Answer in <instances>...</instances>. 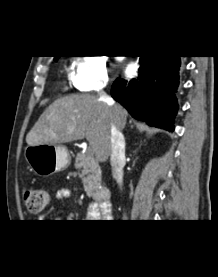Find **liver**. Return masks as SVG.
Wrapping results in <instances>:
<instances>
[{
    "mask_svg": "<svg viewBox=\"0 0 218 277\" xmlns=\"http://www.w3.org/2000/svg\"><path fill=\"white\" fill-rule=\"evenodd\" d=\"M114 112L92 95H70L54 101L43 112L26 136L29 146L58 145L86 137L98 161L111 153V125L126 124V111L118 104Z\"/></svg>",
    "mask_w": 218,
    "mask_h": 277,
    "instance_id": "6515ba94",
    "label": "liver"
}]
</instances>
